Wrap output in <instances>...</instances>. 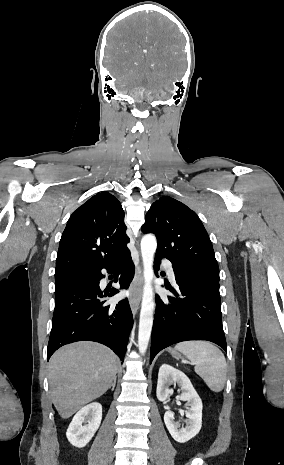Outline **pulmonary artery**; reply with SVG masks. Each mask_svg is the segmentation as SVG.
I'll return each mask as SVG.
<instances>
[{
    "label": "pulmonary artery",
    "mask_w": 284,
    "mask_h": 465,
    "mask_svg": "<svg viewBox=\"0 0 284 465\" xmlns=\"http://www.w3.org/2000/svg\"><path fill=\"white\" fill-rule=\"evenodd\" d=\"M168 275L171 279H174V273L171 269L168 270Z\"/></svg>",
    "instance_id": "obj_1"
}]
</instances>
